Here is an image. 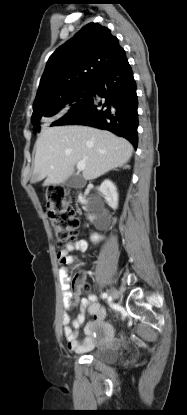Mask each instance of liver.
<instances>
[{"instance_id":"liver-1","label":"liver","mask_w":187,"mask_h":415,"mask_svg":"<svg viewBox=\"0 0 187 415\" xmlns=\"http://www.w3.org/2000/svg\"><path fill=\"white\" fill-rule=\"evenodd\" d=\"M35 147L31 183L46 178L45 186L65 181L80 161L86 164L84 179H96L126 164L133 153L131 143L122 137L109 131L76 125L43 130Z\"/></svg>"}]
</instances>
